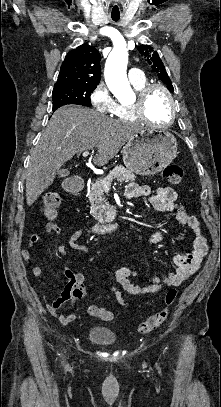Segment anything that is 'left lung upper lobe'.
Returning a JSON list of instances; mask_svg holds the SVG:
<instances>
[{
	"label": "left lung upper lobe",
	"mask_w": 221,
	"mask_h": 407,
	"mask_svg": "<svg viewBox=\"0 0 221 407\" xmlns=\"http://www.w3.org/2000/svg\"><path fill=\"white\" fill-rule=\"evenodd\" d=\"M138 51L145 58V61L151 67V69L156 72L158 77L167 85V88L170 91H174L171 80L157 51H155L153 47L148 45H140L138 47Z\"/></svg>",
	"instance_id": "obj_1"
}]
</instances>
